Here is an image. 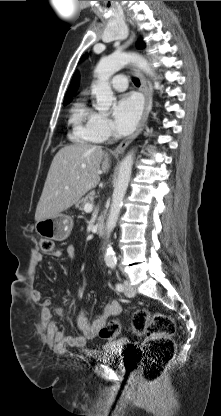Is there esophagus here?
I'll return each mask as SVG.
<instances>
[{
    "label": "esophagus",
    "instance_id": "obj_1",
    "mask_svg": "<svg viewBox=\"0 0 221 416\" xmlns=\"http://www.w3.org/2000/svg\"><path fill=\"white\" fill-rule=\"evenodd\" d=\"M132 69L134 73L136 74V76L140 79V83H141L140 90L142 91L145 97V109H144L142 119L138 125L136 132L130 137H128L127 139L123 140L114 150V154H120L124 152V150L128 147V145L141 133V131L143 130L144 124L147 120L148 114H149L150 96H149V90L146 84L145 77L135 65L132 66Z\"/></svg>",
    "mask_w": 221,
    "mask_h": 416
}]
</instances>
